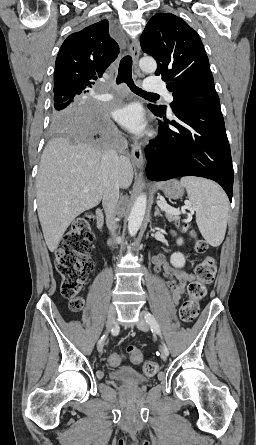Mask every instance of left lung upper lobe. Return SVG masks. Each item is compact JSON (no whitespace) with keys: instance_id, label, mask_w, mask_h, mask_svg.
Here are the masks:
<instances>
[{"instance_id":"1","label":"left lung upper lobe","mask_w":256,"mask_h":445,"mask_svg":"<svg viewBox=\"0 0 256 445\" xmlns=\"http://www.w3.org/2000/svg\"><path fill=\"white\" fill-rule=\"evenodd\" d=\"M140 43L157 61L155 74L162 75L173 93L172 109L177 103L220 108L203 43L185 21L170 13H157L147 23ZM151 107L166 113L164 106Z\"/></svg>"}]
</instances>
